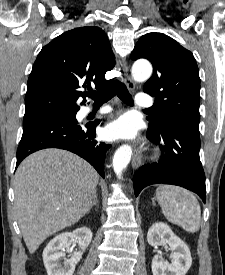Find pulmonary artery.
Listing matches in <instances>:
<instances>
[{"label": "pulmonary artery", "mask_w": 225, "mask_h": 275, "mask_svg": "<svg viewBox=\"0 0 225 275\" xmlns=\"http://www.w3.org/2000/svg\"><path fill=\"white\" fill-rule=\"evenodd\" d=\"M136 104L142 108H150L152 105H153V99L146 95L145 93H139L137 94V97H136ZM109 108H102L99 110V113L100 114H104V113H107L109 112ZM90 109H86L85 112H89Z\"/></svg>", "instance_id": "1"}]
</instances>
